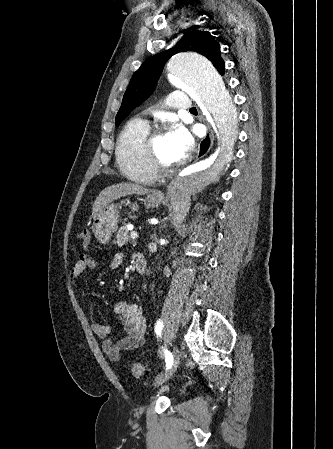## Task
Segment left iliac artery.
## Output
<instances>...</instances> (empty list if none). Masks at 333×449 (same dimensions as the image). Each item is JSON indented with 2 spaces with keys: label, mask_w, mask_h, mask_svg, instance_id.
Segmentation results:
<instances>
[{
  "label": "left iliac artery",
  "mask_w": 333,
  "mask_h": 449,
  "mask_svg": "<svg viewBox=\"0 0 333 449\" xmlns=\"http://www.w3.org/2000/svg\"><path fill=\"white\" fill-rule=\"evenodd\" d=\"M163 328L162 320L159 319L155 325V332L158 337H161V332ZM165 361H166V370L169 369L173 364V355L167 349L164 350Z\"/></svg>",
  "instance_id": "left-iliac-artery-1"
}]
</instances>
